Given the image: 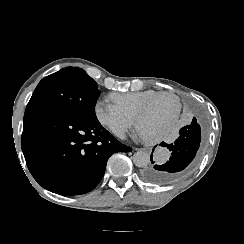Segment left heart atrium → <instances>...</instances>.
Listing matches in <instances>:
<instances>
[{
    "label": "left heart atrium",
    "mask_w": 244,
    "mask_h": 244,
    "mask_svg": "<svg viewBox=\"0 0 244 244\" xmlns=\"http://www.w3.org/2000/svg\"><path fill=\"white\" fill-rule=\"evenodd\" d=\"M158 136V134H154L153 136H151V137H157Z\"/></svg>",
    "instance_id": "obj_1"
}]
</instances>
